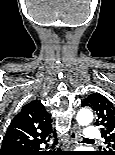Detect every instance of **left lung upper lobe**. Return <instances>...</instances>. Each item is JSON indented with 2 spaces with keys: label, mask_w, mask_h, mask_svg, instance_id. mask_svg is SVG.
<instances>
[{
  "label": "left lung upper lobe",
  "mask_w": 115,
  "mask_h": 155,
  "mask_svg": "<svg viewBox=\"0 0 115 155\" xmlns=\"http://www.w3.org/2000/svg\"><path fill=\"white\" fill-rule=\"evenodd\" d=\"M91 107L98 115L95 125L101 127L102 137L107 144L106 149L97 151L93 155H115V107L98 93H92L82 103V107Z\"/></svg>",
  "instance_id": "5c2ea615"
}]
</instances>
